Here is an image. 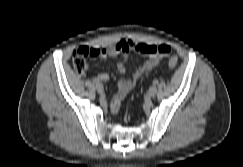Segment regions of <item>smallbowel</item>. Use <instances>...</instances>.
Wrapping results in <instances>:
<instances>
[{
    "instance_id": "small-bowel-1",
    "label": "small bowel",
    "mask_w": 243,
    "mask_h": 167,
    "mask_svg": "<svg viewBox=\"0 0 243 167\" xmlns=\"http://www.w3.org/2000/svg\"><path fill=\"white\" fill-rule=\"evenodd\" d=\"M131 50L145 55L147 59L140 66L135 68L131 79H126L124 77L119 79L117 92L114 94L111 102V111L114 114L119 111L122 99L135 86L138 79L145 73L153 70L160 61L171 52V48L167 44H153L121 39L116 44L107 48H91V53L93 57L101 58L121 55L122 58L117 67L119 72L124 75L127 71V64L129 61L128 53ZM96 79L107 82L109 80V75L107 73H100L97 75Z\"/></svg>"
}]
</instances>
